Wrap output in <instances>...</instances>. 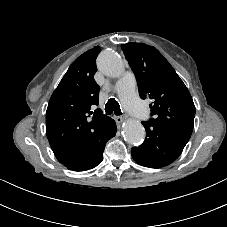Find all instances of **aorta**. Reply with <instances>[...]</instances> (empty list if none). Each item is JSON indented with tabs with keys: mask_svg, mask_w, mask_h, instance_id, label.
I'll use <instances>...</instances> for the list:
<instances>
[{
	"mask_svg": "<svg viewBox=\"0 0 227 227\" xmlns=\"http://www.w3.org/2000/svg\"><path fill=\"white\" fill-rule=\"evenodd\" d=\"M98 69L113 78L120 77L125 66L120 55L112 50L102 51L97 58ZM123 136L129 144H139L145 137V129L140 121L128 120L123 127Z\"/></svg>",
	"mask_w": 227,
	"mask_h": 227,
	"instance_id": "aorta-1",
	"label": "aorta"
}]
</instances>
